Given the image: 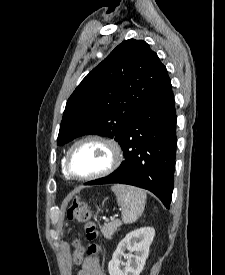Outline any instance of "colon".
I'll list each match as a JSON object with an SVG mask.
<instances>
[{"label":"colon","mask_w":225,"mask_h":275,"mask_svg":"<svg viewBox=\"0 0 225 275\" xmlns=\"http://www.w3.org/2000/svg\"><path fill=\"white\" fill-rule=\"evenodd\" d=\"M66 217L68 220H76L83 225L86 238L91 241V244L87 248V255H96L100 251V246L97 243L99 233L97 230L95 218L86 202L79 199L72 200L68 206ZM83 253L84 251L81 245V241L75 239L73 252V262L75 265L81 264Z\"/></svg>","instance_id":"obj_1"}]
</instances>
